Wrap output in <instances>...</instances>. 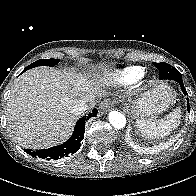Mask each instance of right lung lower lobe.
I'll return each mask as SVG.
<instances>
[{"instance_id": "right-lung-lower-lobe-1", "label": "right lung lower lobe", "mask_w": 196, "mask_h": 196, "mask_svg": "<svg viewBox=\"0 0 196 196\" xmlns=\"http://www.w3.org/2000/svg\"><path fill=\"white\" fill-rule=\"evenodd\" d=\"M97 113H98L97 109H94L92 113L88 114V116H84L79 121H77L73 135L67 142L48 149H42L36 151H33L31 149H24V151L33 157L38 156L40 158L47 159V160L49 159L57 160L63 157H67L70 154H74L81 146V141L83 140L84 132H85V122L89 118L95 117Z\"/></svg>"}]
</instances>
